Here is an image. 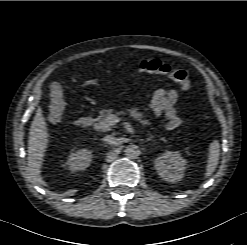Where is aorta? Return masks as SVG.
I'll use <instances>...</instances> for the list:
<instances>
[{
	"label": "aorta",
	"mask_w": 247,
	"mask_h": 245,
	"mask_svg": "<svg viewBox=\"0 0 247 245\" xmlns=\"http://www.w3.org/2000/svg\"><path fill=\"white\" fill-rule=\"evenodd\" d=\"M124 152H125V156L129 159H136L140 155V149L135 144H130L126 146Z\"/></svg>",
	"instance_id": "aorta-1"
}]
</instances>
